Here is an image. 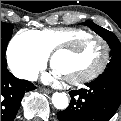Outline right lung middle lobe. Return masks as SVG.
I'll list each match as a JSON object with an SVG mask.
<instances>
[{"instance_id": "obj_1", "label": "right lung middle lobe", "mask_w": 121, "mask_h": 121, "mask_svg": "<svg viewBox=\"0 0 121 121\" xmlns=\"http://www.w3.org/2000/svg\"><path fill=\"white\" fill-rule=\"evenodd\" d=\"M13 26L1 22V56H5L7 44L12 35Z\"/></svg>"}]
</instances>
